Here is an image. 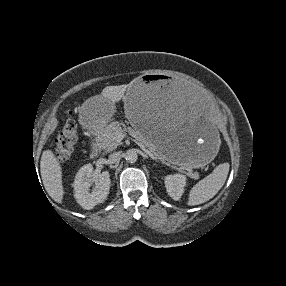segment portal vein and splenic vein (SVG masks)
Instances as JSON below:
<instances>
[{
    "mask_svg": "<svg viewBox=\"0 0 286 286\" xmlns=\"http://www.w3.org/2000/svg\"><path fill=\"white\" fill-rule=\"evenodd\" d=\"M124 137H125V135H123V134H118V136H117V138H118L120 141H121ZM134 141L140 146V148H141L145 153H147V154L149 155L150 158H152V159H154V160H157V158L153 155V153H151L148 149H146L145 146H144L142 143H140V142H138V141H136V140H134Z\"/></svg>",
    "mask_w": 286,
    "mask_h": 286,
    "instance_id": "1",
    "label": "portal vein and splenic vein"
}]
</instances>
